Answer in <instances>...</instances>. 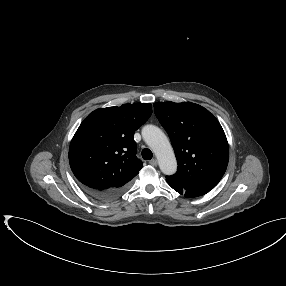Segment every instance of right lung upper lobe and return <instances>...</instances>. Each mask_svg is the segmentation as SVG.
Here are the masks:
<instances>
[{
	"label": "right lung upper lobe",
	"instance_id": "right-lung-upper-lobe-1",
	"mask_svg": "<svg viewBox=\"0 0 286 286\" xmlns=\"http://www.w3.org/2000/svg\"><path fill=\"white\" fill-rule=\"evenodd\" d=\"M151 114V104H124L97 109L84 119L69 148L70 167L82 185L127 187L142 168L134 133Z\"/></svg>",
	"mask_w": 286,
	"mask_h": 286
}]
</instances>
